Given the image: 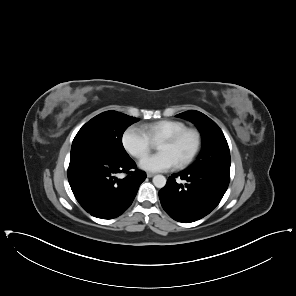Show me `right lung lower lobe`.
Returning a JSON list of instances; mask_svg holds the SVG:
<instances>
[{"instance_id": "obj_1", "label": "right lung lower lobe", "mask_w": 296, "mask_h": 296, "mask_svg": "<svg viewBox=\"0 0 296 296\" xmlns=\"http://www.w3.org/2000/svg\"><path fill=\"white\" fill-rule=\"evenodd\" d=\"M130 158L114 160L97 154L70 158L68 180L80 205L92 216L111 219L121 215L133 202L146 173H135ZM130 171V176L117 177Z\"/></svg>"}]
</instances>
